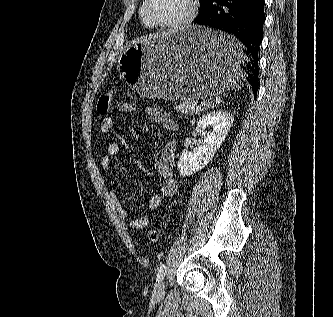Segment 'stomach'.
I'll return each mask as SVG.
<instances>
[{
  "label": "stomach",
  "mask_w": 333,
  "mask_h": 317,
  "mask_svg": "<svg viewBox=\"0 0 333 317\" xmlns=\"http://www.w3.org/2000/svg\"><path fill=\"white\" fill-rule=\"evenodd\" d=\"M246 45L227 29L192 26L142 38L125 48L118 69L141 97L199 100L218 96L240 81Z\"/></svg>",
  "instance_id": "stomach-1"
}]
</instances>
